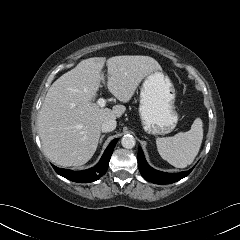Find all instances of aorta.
Instances as JSON below:
<instances>
[{
    "mask_svg": "<svg viewBox=\"0 0 240 240\" xmlns=\"http://www.w3.org/2000/svg\"><path fill=\"white\" fill-rule=\"evenodd\" d=\"M121 144L126 149H132L135 146L136 141L132 135L127 134L122 137Z\"/></svg>",
    "mask_w": 240,
    "mask_h": 240,
    "instance_id": "1",
    "label": "aorta"
}]
</instances>
